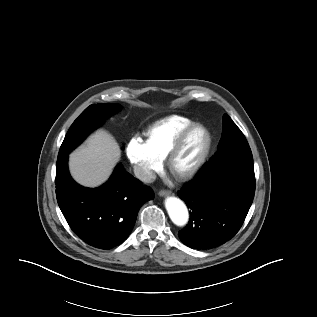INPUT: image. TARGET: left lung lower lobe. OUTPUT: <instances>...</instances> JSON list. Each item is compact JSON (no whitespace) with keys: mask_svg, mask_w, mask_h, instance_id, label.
<instances>
[{"mask_svg":"<svg viewBox=\"0 0 317 317\" xmlns=\"http://www.w3.org/2000/svg\"><path fill=\"white\" fill-rule=\"evenodd\" d=\"M255 193L253 161L240 157L211 160L178 195L192 210L181 241L205 250L232 239L241 228Z\"/></svg>","mask_w":317,"mask_h":317,"instance_id":"0a47b994","label":"left lung lower lobe"}]
</instances>
